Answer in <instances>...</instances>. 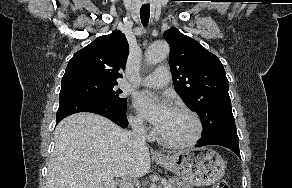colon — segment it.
I'll return each instance as SVG.
<instances>
[{"instance_id":"1","label":"colon","mask_w":292,"mask_h":188,"mask_svg":"<svg viewBox=\"0 0 292 188\" xmlns=\"http://www.w3.org/2000/svg\"><path fill=\"white\" fill-rule=\"evenodd\" d=\"M213 188H230L229 187V184L227 181L223 180V181H220L218 183H216Z\"/></svg>"}]
</instances>
